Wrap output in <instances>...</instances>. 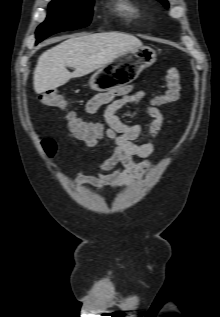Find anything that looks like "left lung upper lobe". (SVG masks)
I'll list each match as a JSON object with an SVG mask.
<instances>
[{
    "label": "left lung upper lobe",
    "mask_w": 220,
    "mask_h": 317,
    "mask_svg": "<svg viewBox=\"0 0 220 317\" xmlns=\"http://www.w3.org/2000/svg\"><path fill=\"white\" fill-rule=\"evenodd\" d=\"M158 1H160L162 4H164L166 7H168L169 5H168V2L166 1V0H158Z\"/></svg>",
    "instance_id": "1"
}]
</instances>
